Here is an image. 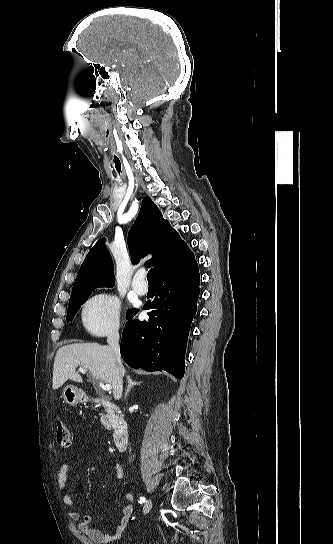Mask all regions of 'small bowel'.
Listing matches in <instances>:
<instances>
[{
  "label": "small bowel",
  "instance_id": "small-bowel-1",
  "mask_svg": "<svg viewBox=\"0 0 333 544\" xmlns=\"http://www.w3.org/2000/svg\"><path fill=\"white\" fill-rule=\"evenodd\" d=\"M114 468L116 471V478L119 480L123 479L124 470L121 464L115 463ZM69 470H70V462L68 461L62 462L58 471V475H57L58 485L62 493V500L64 504L71 508H76V503L73 500L69 491L67 490V480H68ZM124 497H125V500L127 501V504L122 509V513L117 525L109 533H105L100 528L96 527L90 515H81L79 511L73 510L69 512L68 516L73 521H80L78 524L79 530L82 533H84L86 536H88L91 540H93L94 542L106 543V542L113 541L122 534V532L124 531V529L126 528L130 520L131 511H132L130 503L133 501V494L131 492H126Z\"/></svg>",
  "mask_w": 333,
  "mask_h": 544
}]
</instances>
